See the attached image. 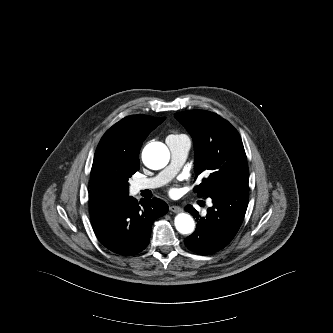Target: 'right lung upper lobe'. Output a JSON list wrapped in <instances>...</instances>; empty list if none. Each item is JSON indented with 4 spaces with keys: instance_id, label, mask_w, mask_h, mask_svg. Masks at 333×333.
I'll return each mask as SVG.
<instances>
[{
    "instance_id": "right-lung-upper-lobe-1",
    "label": "right lung upper lobe",
    "mask_w": 333,
    "mask_h": 333,
    "mask_svg": "<svg viewBox=\"0 0 333 333\" xmlns=\"http://www.w3.org/2000/svg\"><path fill=\"white\" fill-rule=\"evenodd\" d=\"M165 120L145 115L128 116L102 137L91 170V203L118 200L128 195L125 169L139 162L148 134Z\"/></svg>"
}]
</instances>
